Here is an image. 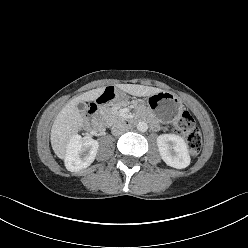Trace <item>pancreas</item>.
Returning <instances> with one entry per match:
<instances>
[{
  "mask_svg": "<svg viewBox=\"0 0 248 248\" xmlns=\"http://www.w3.org/2000/svg\"><path fill=\"white\" fill-rule=\"evenodd\" d=\"M104 118L110 125L120 118V113L115 108H107L104 113Z\"/></svg>",
  "mask_w": 248,
  "mask_h": 248,
  "instance_id": "pancreas-1",
  "label": "pancreas"
}]
</instances>
